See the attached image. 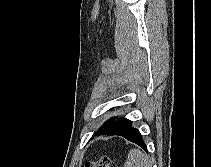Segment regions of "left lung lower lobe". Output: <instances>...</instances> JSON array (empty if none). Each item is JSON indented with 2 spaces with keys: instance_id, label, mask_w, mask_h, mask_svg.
Segmentation results:
<instances>
[{
  "instance_id": "1",
  "label": "left lung lower lobe",
  "mask_w": 211,
  "mask_h": 167,
  "mask_svg": "<svg viewBox=\"0 0 211 167\" xmlns=\"http://www.w3.org/2000/svg\"><path fill=\"white\" fill-rule=\"evenodd\" d=\"M118 135L126 138L127 140L136 143L144 150H147V147L142 139V136L138 129L132 127V122L126 118H119L107 125H103V128L99 129L94 136L100 135Z\"/></svg>"
}]
</instances>
